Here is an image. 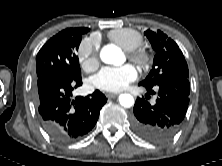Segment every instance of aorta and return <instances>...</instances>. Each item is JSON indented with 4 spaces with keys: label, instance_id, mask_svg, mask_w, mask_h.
<instances>
[{
    "label": "aorta",
    "instance_id": "obj_1",
    "mask_svg": "<svg viewBox=\"0 0 222 166\" xmlns=\"http://www.w3.org/2000/svg\"><path fill=\"white\" fill-rule=\"evenodd\" d=\"M101 60L106 64L121 65L125 57L122 51L114 45H106L100 52ZM119 103L125 108H130L134 105V98L131 94L124 93L119 96Z\"/></svg>",
    "mask_w": 222,
    "mask_h": 166
}]
</instances>
